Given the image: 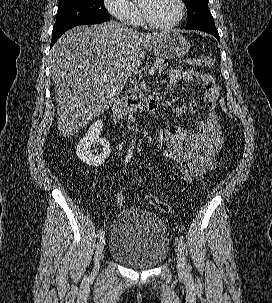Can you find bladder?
<instances>
[{
    "label": "bladder",
    "instance_id": "1",
    "mask_svg": "<svg viewBox=\"0 0 272 303\" xmlns=\"http://www.w3.org/2000/svg\"><path fill=\"white\" fill-rule=\"evenodd\" d=\"M170 249L168 229L155 213L127 208L110 227L109 254L123 265L144 270L162 263Z\"/></svg>",
    "mask_w": 272,
    "mask_h": 303
}]
</instances>
